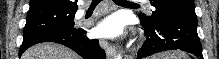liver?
Instances as JSON below:
<instances>
[{
    "label": "liver",
    "mask_w": 219,
    "mask_h": 59,
    "mask_svg": "<svg viewBox=\"0 0 219 59\" xmlns=\"http://www.w3.org/2000/svg\"><path fill=\"white\" fill-rule=\"evenodd\" d=\"M21 59H81L68 48L53 44L41 43L26 50Z\"/></svg>",
    "instance_id": "obj_1"
}]
</instances>
